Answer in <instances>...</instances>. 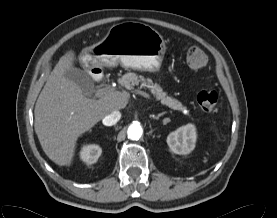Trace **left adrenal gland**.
Masks as SVG:
<instances>
[{
	"label": "left adrenal gland",
	"mask_w": 277,
	"mask_h": 218,
	"mask_svg": "<svg viewBox=\"0 0 277 218\" xmlns=\"http://www.w3.org/2000/svg\"><path fill=\"white\" fill-rule=\"evenodd\" d=\"M166 112L159 113L157 116H154V119L158 120L161 116H163ZM164 122H167V119L164 120Z\"/></svg>",
	"instance_id": "obj_1"
}]
</instances>
